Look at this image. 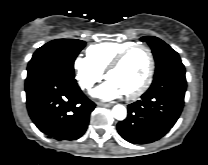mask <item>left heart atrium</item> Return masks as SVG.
<instances>
[{
    "label": "left heart atrium",
    "mask_w": 208,
    "mask_h": 165,
    "mask_svg": "<svg viewBox=\"0 0 208 165\" xmlns=\"http://www.w3.org/2000/svg\"><path fill=\"white\" fill-rule=\"evenodd\" d=\"M122 94L123 93L118 86L109 79L93 92L94 96L102 99H113Z\"/></svg>",
    "instance_id": "obj_1"
}]
</instances>
